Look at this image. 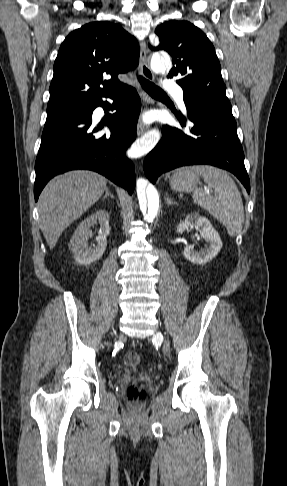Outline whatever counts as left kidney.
Segmentation results:
<instances>
[{
    "instance_id": "1",
    "label": "left kidney",
    "mask_w": 287,
    "mask_h": 486,
    "mask_svg": "<svg viewBox=\"0 0 287 486\" xmlns=\"http://www.w3.org/2000/svg\"><path fill=\"white\" fill-rule=\"evenodd\" d=\"M191 227L200 232L201 237L209 242V246L201 249L199 252L195 251L192 246H187L184 248V257L191 263L205 264L217 256L222 248V241L210 221L198 213L188 214L185 220L181 221L177 226V232L182 234Z\"/></svg>"
}]
</instances>
